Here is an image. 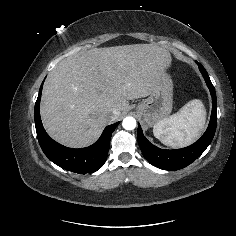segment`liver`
<instances>
[{"instance_id": "1", "label": "liver", "mask_w": 236, "mask_h": 236, "mask_svg": "<svg viewBox=\"0 0 236 236\" xmlns=\"http://www.w3.org/2000/svg\"><path fill=\"white\" fill-rule=\"evenodd\" d=\"M171 66L155 44L93 48L62 60L48 75L40 114L47 133L73 148L93 144L121 116L129 100L146 97ZM113 109L117 113L111 115Z\"/></svg>"}]
</instances>
